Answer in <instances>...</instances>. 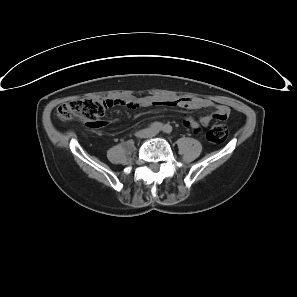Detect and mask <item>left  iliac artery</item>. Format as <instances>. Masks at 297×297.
Returning <instances> with one entry per match:
<instances>
[{
  "instance_id": "obj_1",
  "label": "left iliac artery",
  "mask_w": 297,
  "mask_h": 297,
  "mask_svg": "<svg viewBox=\"0 0 297 297\" xmlns=\"http://www.w3.org/2000/svg\"><path fill=\"white\" fill-rule=\"evenodd\" d=\"M164 132H166V133H170L171 132V130H172V128H171V126L170 125H166L165 127H164Z\"/></svg>"
}]
</instances>
